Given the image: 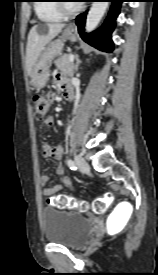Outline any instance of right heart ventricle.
<instances>
[{
  "label": "right heart ventricle",
  "instance_id": "e07e8e85",
  "mask_svg": "<svg viewBox=\"0 0 158 275\" xmlns=\"http://www.w3.org/2000/svg\"><path fill=\"white\" fill-rule=\"evenodd\" d=\"M56 0H40L35 5L37 16L46 22H57L62 20L63 15L57 9Z\"/></svg>",
  "mask_w": 158,
  "mask_h": 275
}]
</instances>
